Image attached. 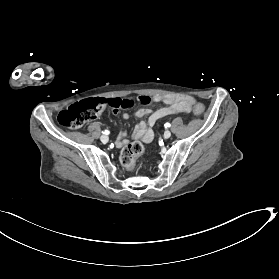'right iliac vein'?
I'll return each mask as SVG.
<instances>
[{"label": "right iliac vein", "mask_w": 279, "mask_h": 279, "mask_svg": "<svg viewBox=\"0 0 279 279\" xmlns=\"http://www.w3.org/2000/svg\"><path fill=\"white\" fill-rule=\"evenodd\" d=\"M101 142L107 143L109 141V137L107 135H102L100 137Z\"/></svg>", "instance_id": "1"}]
</instances>
